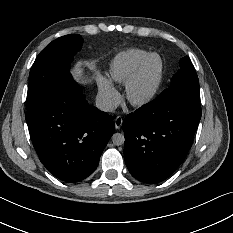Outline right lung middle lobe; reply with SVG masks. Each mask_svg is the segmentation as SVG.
Segmentation results:
<instances>
[{
    "label": "right lung middle lobe",
    "instance_id": "1",
    "mask_svg": "<svg viewBox=\"0 0 233 233\" xmlns=\"http://www.w3.org/2000/svg\"><path fill=\"white\" fill-rule=\"evenodd\" d=\"M82 44L80 35H66L52 41L40 52L30 70L27 110L41 103L63 80L71 77L70 63Z\"/></svg>",
    "mask_w": 233,
    "mask_h": 233
}]
</instances>
